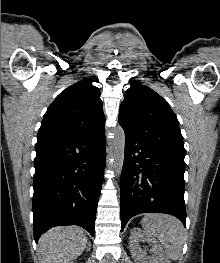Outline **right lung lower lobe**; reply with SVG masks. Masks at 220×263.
Here are the masks:
<instances>
[{
	"mask_svg": "<svg viewBox=\"0 0 220 263\" xmlns=\"http://www.w3.org/2000/svg\"><path fill=\"white\" fill-rule=\"evenodd\" d=\"M105 129L67 140L37 142L33 231L78 225L94 236L105 168Z\"/></svg>",
	"mask_w": 220,
	"mask_h": 263,
	"instance_id": "right-lung-lower-lobe-1",
	"label": "right lung lower lobe"
}]
</instances>
